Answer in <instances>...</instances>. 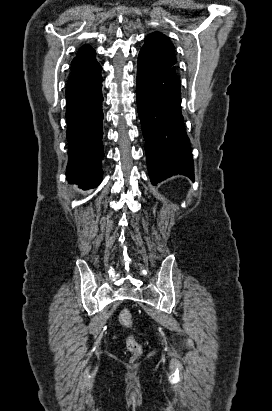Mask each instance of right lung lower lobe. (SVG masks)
<instances>
[{"label":"right lung lower lobe","instance_id":"1","mask_svg":"<svg viewBox=\"0 0 272 411\" xmlns=\"http://www.w3.org/2000/svg\"><path fill=\"white\" fill-rule=\"evenodd\" d=\"M101 75L90 86L66 94L68 156L66 176L70 183L88 190L101 183L103 96Z\"/></svg>","mask_w":272,"mask_h":411}]
</instances>
